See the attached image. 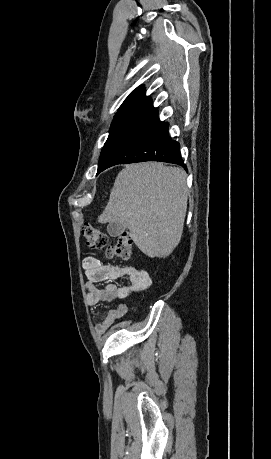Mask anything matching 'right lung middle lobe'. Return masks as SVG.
<instances>
[{
	"mask_svg": "<svg viewBox=\"0 0 271 459\" xmlns=\"http://www.w3.org/2000/svg\"><path fill=\"white\" fill-rule=\"evenodd\" d=\"M157 118V113L133 111L117 113L112 122L108 139L101 151L97 175L108 161L139 131Z\"/></svg>",
	"mask_w": 271,
	"mask_h": 459,
	"instance_id": "obj_1",
	"label": "right lung middle lobe"
}]
</instances>
